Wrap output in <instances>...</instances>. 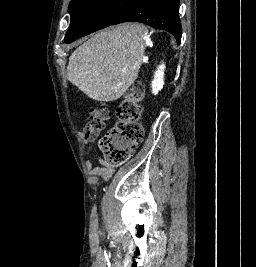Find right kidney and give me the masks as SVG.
I'll return each instance as SVG.
<instances>
[{"mask_svg":"<svg viewBox=\"0 0 256 267\" xmlns=\"http://www.w3.org/2000/svg\"><path fill=\"white\" fill-rule=\"evenodd\" d=\"M164 70H165V64H161V66H158L157 72H155L154 80L151 84L152 88V94H158L160 90H162L164 86Z\"/></svg>","mask_w":256,"mask_h":267,"instance_id":"ca27d5eb","label":"right kidney"}]
</instances>
